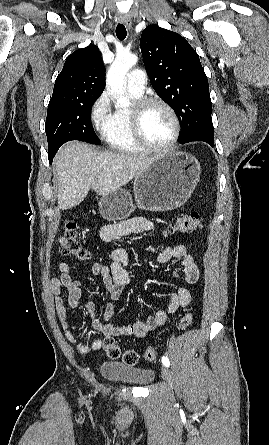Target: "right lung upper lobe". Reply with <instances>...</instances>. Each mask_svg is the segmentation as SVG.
Listing matches in <instances>:
<instances>
[{"label":"right lung upper lobe","mask_w":269,"mask_h":445,"mask_svg":"<svg viewBox=\"0 0 269 445\" xmlns=\"http://www.w3.org/2000/svg\"><path fill=\"white\" fill-rule=\"evenodd\" d=\"M105 88V67L96 45L70 54L57 76L51 99L94 96Z\"/></svg>","instance_id":"cb5924a9"}]
</instances>
